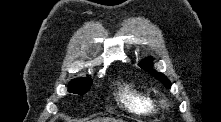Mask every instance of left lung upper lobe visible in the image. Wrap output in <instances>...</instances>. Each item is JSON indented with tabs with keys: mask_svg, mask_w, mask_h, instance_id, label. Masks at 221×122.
<instances>
[{
	"mask_svg": "<svg viewBox=\"0 0 221 122\" xmlns=\"http://www.w3.org/2000/svg\"><path fill=\"white\" fill-rule=\"evenodd\" d=\"M151 63H152V59L149 57V58L145 59L144 61H142V63L140 64V67L142 69H144L145 71L149 72L156 79L161 81L167 88H170L171 84H170V81L168 80V78L164 74L155 71L152 68Z\"/></svg>",
	"mask_w": 221,
	"mask_h": 122,
	"instance_id": "1",
	"label": "left lung upper lobe"
}]
</instances>
